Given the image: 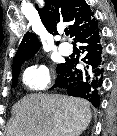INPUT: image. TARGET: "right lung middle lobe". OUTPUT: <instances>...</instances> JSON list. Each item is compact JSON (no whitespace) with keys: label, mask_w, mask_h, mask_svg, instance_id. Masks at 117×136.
I'll return each instance as SVG.
<instances>
[{"label":"right lung middle lobe","mask_w":117,"mask_h":136,"mask_svg":"<svg viewBox=\"0 0 117 136\" xmlns=\"http://www.w3.org/2000/svg\"><path fill=\"white\" fill-rule=\"evenodd\" d=\"M62 64H58L57 65V70L60 68ZM20 73V66L16 67L13 69V83H12V87H15L17 82H18V76Z\"/></svg>","instance_id":"obj_1"}]
</instances>
